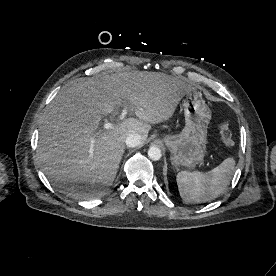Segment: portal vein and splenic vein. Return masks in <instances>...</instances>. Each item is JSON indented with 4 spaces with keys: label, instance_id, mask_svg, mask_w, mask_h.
<instances>
[{
    "label": "portal vein and splenic vein",
    "instance_id": "portal-vein-and-splenic-vein-1",
    "mask_svg": "<svg viewBox=\"0 0 276 276\" xmlns=\"http://www.w3.org/2000/svg\"><path fill=\"white\" fill-rule=\"evenodd\" d=\"M127 114V107H124L123 111L121 112L120 116H119V120H123L125 118ZM113 128V124L112 123H109V122H106L104 124V129L108 130V129H111Z\"/></svg>",
    "mask_w": 276,
    "mask_h": 276
}]
</instances>
